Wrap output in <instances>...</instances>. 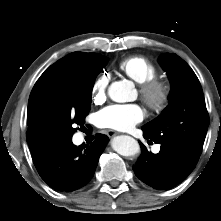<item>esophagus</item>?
<instances>
[{"label": "esophagus", "instance_id": "1", "mask_svg": "<svg viewBox=\"0 0 221 221\" xmlns=\"http://www.w3.org/2000/svg\"><path fill=\"white\" fill-rule=\"evenodd\" d=\"M106 134L109 136V137H113L116 135V132L113 131V130H106Z\"/></svg>", "mask_w": 221, "mask_h": 221}]
</instances>
